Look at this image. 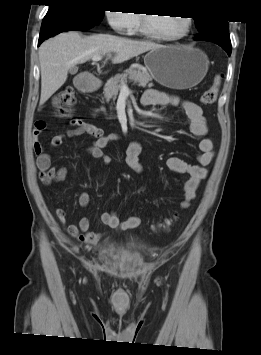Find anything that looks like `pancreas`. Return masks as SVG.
<instances>
[{"mask_svg":"<svg viewBox=\"0 0 261 355\" xmlns=\"http://www.w3.org/2000/svg\"><path fill=\"white\" fill-rule=\"evenodd\" d=\"M127 79L138 83L141 87L153 86L152 77L145 71L139 68L130 67L126 69L122 74L115 75L110 78L104 86V98L106 102H109L111 99L115 100L120 86L122 83H126Z\"/></svg>","mask_w":261,"mask_h":355,"instance_id":"1","label":"pancreas"}]
</instances>
